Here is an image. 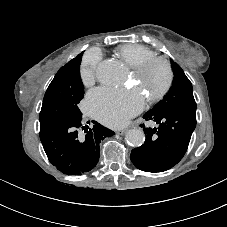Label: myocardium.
<instances>
[{"label": "myocardium", "mask_w": 227, "mask_h": 227, "mask_svg": "<svg viewBox=\"0 0 227 227\" xmlns=\"http://www.w3.org/2000/svg\"><path fill=\"white\" fill-rule=\"evenodd\" d=\"M155 65H160L164 69L166 78L160 90L149 98L151 102L161 100L169 92L173 84L174 74L170 63L164 58L153 57L133 67V76L135 79H139Z\"/></svg>", "instance_id": "myocardium-1"}]
</instances>
